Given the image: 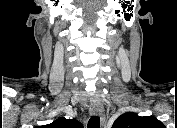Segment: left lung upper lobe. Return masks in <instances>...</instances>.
<instances>
[{
    "mask_svg": "<svg viewBox=\"0 0 177 128\" xmlns=\"http://www.w3.org/2000/svg\"><path fill=\"white\" fill-rule=\"evenodd\" d=\"M163 124L153 116L140 117L129 112L120 115L112 128H160Z\"/></svg>",
    "mask_w": 177,
    "mask_h": 128,
    "instance_id": "left-lung-upper-lobe-1",
    "label": "left lung upper lobe"
}]
</instances>
